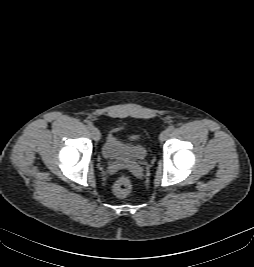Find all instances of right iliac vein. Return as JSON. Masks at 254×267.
Listing matches in <instances>:
<instances>
[{"label":"right iliac vein","mask_w":254,"mask_h":267,"mask_svg":"<svg viewBox=\"0 0 254 267\" xmlns=\"http://www.w3.org/2000/svg\"><path fill=\"white\" fill-rule=\"evenodd\" d=\"M91 134L96 141L100 140L101 134H100V131L96 127L91 128Z\"/></svg>","instance_id":"obj_1"}]
</instances>
